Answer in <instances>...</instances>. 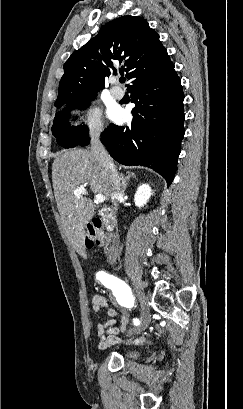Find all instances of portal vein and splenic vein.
<instances>
[{
  "mask_svg": "<svg viewBox=\"0 0 243 409\" xmlns=\"http://www.w3.org/2000/svg\"><path fill=\"white\" fill-rule=\"evenodd\" d=\"M87 190L81 186L74 190V195L80 197L81 195H87ZM95 201L98 203H102L105 201V197L102 194L95 195Z\"/></svg>",
  "mask_w": 243,
  "mask_h": 409,
  "instance_id": "18ae733b",
  "label": "portal vein and splenic vein"
}]
</instances>
